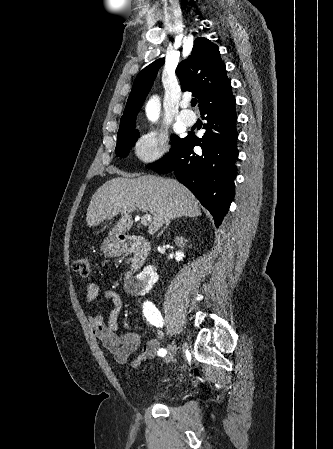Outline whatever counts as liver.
<instances>
[{
  "instance_id": "1",
  "label": "liver",
  "mask_w": 333,
  "mask_h": 449,
  "mask_svg": "<svg viewBox=\"0 0 333 449\" xmlns=\"http://www.w3.org/2000/svg\"><path fill=\"white\" fill-rule=\"evenodd\" d=\"M135 210L152 214L149 234H154L164 223L176 217L201 216L198 201L178 181L146 175L117 177L99 187L88 206L86 221L89 227H93L121 214L110 232V235L118 237L131 229V214Z\"/></svg>"
}]
</instances>
